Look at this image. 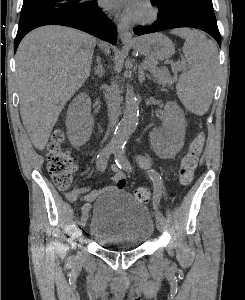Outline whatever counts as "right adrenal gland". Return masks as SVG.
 I'll return each mask as SVG.
<instances>
[{
	"instance_id": "1",
	"label": "right adrenal gland",
	"mask_w": 245,
	"mask_h": 300,
	"mask_svg": "<svg viewBox=\"0 0 245 300\" xmlns=\"http://www.w3.org/2000/svg\"><path fill=\"white\" fill-rule=\"evenodd\" d=\"M95 74L100 78L104 73V67L101 64L100 57H97V67L94 68Z\"/></svg>"
}]
</instances>
